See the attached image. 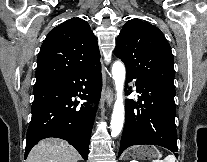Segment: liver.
I'll return each mask as SVG.
<instances>
[{
  "label": "liver",
  "mask_w": 207,
  "mask_h": 162,
  "mask_svg": "<svg viewBox=\"0 0 207 162\" xmlns=\"http://www.w3.org/2000/svg\"><path fill=\"white\" fill-rule=\"evenodd\" d=\"M79 153L67 141L57 138L41 140L30 151L26 162H77Z\"/></svg>",
  "instance_id": "6515ba94"
}]
</instances>
